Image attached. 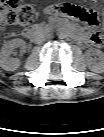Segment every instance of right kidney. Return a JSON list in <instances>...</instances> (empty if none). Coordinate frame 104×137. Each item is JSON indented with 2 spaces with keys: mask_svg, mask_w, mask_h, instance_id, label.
I'll use <instances>...</instances> for the list:
<instances>
[{
  "mask_svg": "<svg viewBox=\"0 0 104 137\" xmlns=\"http://www.w3.org/2000/svg\"><path fill=\"white\" fill-rule=\"evenodd\" d=\"M25 41L16 38L6 42L0 50V66L4 70L14 71L20 66V60L18 58H10L12 50L15 48L25 49Z\"/></svg>",
  "mask_w": 104,
  "mask_h": 137,
  "instance_id": "right-kidney-1",
  "label": "right kidney"
}]
</instances>
